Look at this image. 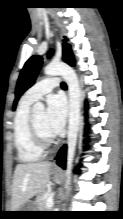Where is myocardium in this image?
I'll use <instances>...</instances> for the list:
<instances>
[{
	"mask_svg": "<svg viewBox=\"0 0 123 219\" xmlns=\"http://www.w3.org/2000/svg\"><path fill=\"white\" fill-rule=\"evenodd\" d=\"M30 125L34 141L39 148L42 150L47 149L55 142L54 136L46 137L41 133L35 122L34 116H31Z\"/></svg>",
	"mask_w": 123,
	"mask_h": 219,
	"instance_id": "1",
	"label": "myocardium"
}]
</instances>
